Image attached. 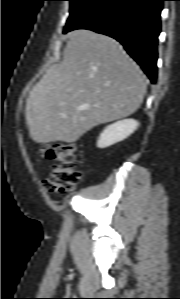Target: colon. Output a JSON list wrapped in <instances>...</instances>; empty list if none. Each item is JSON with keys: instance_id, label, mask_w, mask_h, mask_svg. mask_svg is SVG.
I'll list each match as a JSON object with an SVG mask.
<instances>
[{"instance_id": "colon-1", "label": "colon", "mask_w": 180, "mask_h": 299, "mask_svg": "<svg viewBox=\"0 0 180 299\" xmlns=\"http://www.w3.org/2000/svg\"><path fill=\"white\" fill-rule=\"evenodd\" d=\"M41 158L53 161L43 187L48 193H63L73 190L81 181V171L76 165V149L72 143L56 142L40 149Z\"/></svg>"}]
</instances>
